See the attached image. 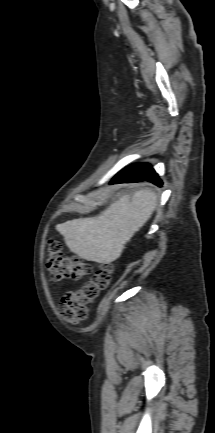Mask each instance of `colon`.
<instances>
[{
  "mask_svg": "<svg viewBox=\"0 0 215 433\" xmlns=\"http://www.w3.org/2000/svg\"><path fill=\"white\" fill-rule=\"evenodd\" d=\"M47 267L56 279H80L91 273L90 265L76 256L63 253L62 244L54 239L48 242ZM112 270L103 265L77 291L66 292L59 304V314L69 322H80L87 317V305L94 301L111 282Z\"/></svg>",
  "mask_w": 215,
  "mask_h": 433,
  "instance_id": "1",
  "label": "colon"
}]
</instances>
